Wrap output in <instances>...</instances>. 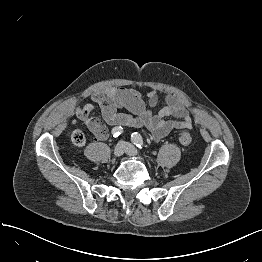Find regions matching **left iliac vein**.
Segmentation results:
<instances>
[{
	"label": "left iliac vein",
	"instance_id": "1",
	"mask_svg": "<svg viewBox=\"0 0 262 262\" xmlns=\"http://www.w3.org/2000/svg\"><path fill=\"white\" fill-rule=\"evenodd\" d=\"M125 147H126L125 152L129 156H136L137 155V150H136V148L133 145H131L129 143H125Z\"/></svg>",
	"mask_w": 262,
	"mask_h": 262
}]
</instances>
